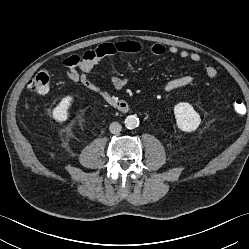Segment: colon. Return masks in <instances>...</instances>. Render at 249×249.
<instances>
[{
	"label": "colon",
	"mask_w": 249,
	"mask_h": 249,
	"mask_svg": "<svg viewBox=\"0 0 249 249\" xmlns=\"http://www.w3.org/2000/svg\"><path fill=\"white\" fill-rule=\"evenodd\" d=\"M51 82V73L48 70L39 71L29 82V89L37 94H45L49 91ZM235 113L242 114L245 105L241 100H235L232 104Z\"/></svg>",
	"instance_id": "1"
}]
</instances>
